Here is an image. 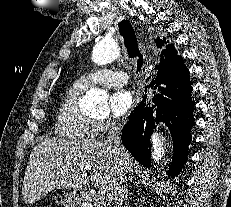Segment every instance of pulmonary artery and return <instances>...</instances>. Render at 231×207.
I'll return each mask as SVG.
<instances>
[{
    "instance_id": "e3ab8cb5",
    "label": "pulmonary artery",
    "mask_w": 231,
    "mask_h": 207,
    "mask_svg": "<svg viewBox=\"0 0 231 207\" xmlns=\"http://www.w3.org/2000/svg\"><path fill=\"white\" fill-rule=\"evenodd\" d=\"M128 76L124 71H113L107 68H101L89 72L76 80L75 85L78 88L86 89L90 85H102L106 87H116L124 85Z\"/></svg>"
}]
</instances>
